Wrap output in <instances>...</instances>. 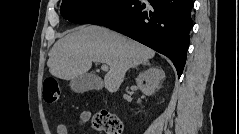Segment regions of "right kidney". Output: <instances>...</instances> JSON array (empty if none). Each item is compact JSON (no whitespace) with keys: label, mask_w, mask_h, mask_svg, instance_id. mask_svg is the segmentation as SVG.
I'll use <instances>...</instances> for the list:
<instances>
[{"label":"right kidney","mask_w":239,"mask_h":134,"mask_svg":"<svg viewBox=\"0 0 239 134\" xmlns=\"http://www.w3.org/2000/svg\"><path fill=\"white\" fill-rule=\"evenodd\" d=\"M165 78V73L162 69L151 67L141 73L136 78V83L140 90L147 96L152 95L162 79ZM145 81V85L143 82Z\"/></svg>","instance_id":"right-kidney-1"}]
</instances>
